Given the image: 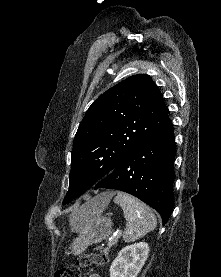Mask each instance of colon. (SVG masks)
<instances>
[{"label": "colon", "instance_id": "obj_1", "mask_svg": "<svg viewBox=\"0 0 221 277\" xmlns=\"http://www.w3.org/2000/svg\"><path fill=\"white\" fill-rule=\"evenodd\" d=\"M106 261L105 256L99 254H86L78 258L75 263L60 268L55 277H81V269L91 264L102 265Z\"/></svg>", "mask_w": 221, "mask_h": 277}]
</instances>
